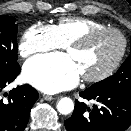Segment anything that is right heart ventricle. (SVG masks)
<instances>
[{"label": "right heart ventricle", "mask_w": 131, "mask_h": 131, "mask_svg": "<svg viewBox=\"0 0 131 131\" xmlns=\"http://www.w3.org/2000/svg\"><path fill=\"white\" fill-rule=\"evenodd\" d=\"M103 27L107 26L97 20L84 17H64L54 25L57 37L62 45H67L88 31Z\"/></svg>", "instance_id": "obj_1"}]
</instances>
